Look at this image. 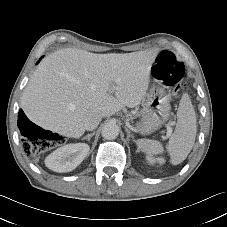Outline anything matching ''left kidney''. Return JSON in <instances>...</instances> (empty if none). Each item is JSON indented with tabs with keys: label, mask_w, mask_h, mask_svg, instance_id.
<instances>
[{
	"label": "left kidney",
	"mask_w": 227,
	"mask_h": 227,
	"mask_svg": "<svg viewBox=\"0 0 227 227\" xmlns=\"http://www.w3.org/2000/svg\"><path fill=\"white\" fill-rule=\"evenodd\" d=\"M147 160H148V162L149 163H151V164H154V163H156V162H158V163H160V164H163L164 162H165V160L163 159V158H153V157H150V156H148L147 157Z\"/></svg>",
	"instance_id": "1"
}]
</instances>
